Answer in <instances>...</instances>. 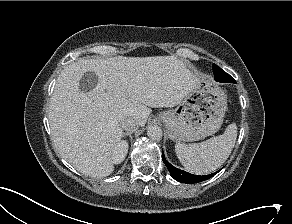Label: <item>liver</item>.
<instances>
[{"label": "liver", "instance_id": "obj_1", "mask_svg": "<svg viewBox=\"0 0 292 224\" xmlns=\"http://www.w3.org/2000/svg\"><path fill=\"white\" fill-rule=\"evenodd\" d=\"M93 72L98 81L89 92L81 80ZM200 76L176 56L80 59L58 76L48 111L59 154L76 170L101 178L113 170L112 152L123 137L120 120L144 126L152 108L174 107Z\"/></svg>", "mask_w": 292, "mask_h": 224}]
</instances>
